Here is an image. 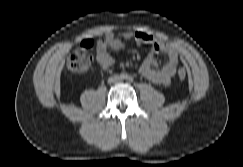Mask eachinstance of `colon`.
<instances>
[{"instance_id": "1", "label": "colon", "mask_w": 243, "mask_h": 167, "mask_svg": "<svg viewBox=\"0 0 243 167\" xmlns=\"http://www.w3.org/2000/svg\"><path fill=\"white\" fill-rule=\"evenodd\" d=\"M95 44V40L86 39L70 54L66 64L69 73L82 74L89 69L93 62L92 50L95 47ZM178 78L184 80L186 78V71L180 69L178 71Z\"/></svg>"}]
</instances>
